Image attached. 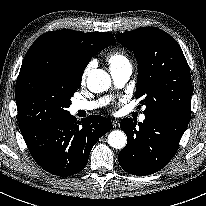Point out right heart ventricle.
I'll return each mask as SVG.
<instances>
[{
    "label": "right heart ventricle",
    "instance_id": "right-heart-ventricle-1",
    "mask_svg": "<svg viewBox=\"0 0 206 206\" xmlns=\"http://www.w3.org/2000/svg\"><path fill=\"white\" fill-rule=\"evenodd\" d=\"M107 61L110 65V69L118 67L123 64H129V59L127 55L121 51H116V52L111 53L108 56Z\"/></svg>",
    "mask_w": 206,
    "mask_h": 206
}]
</instances>
